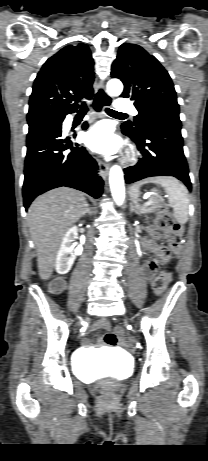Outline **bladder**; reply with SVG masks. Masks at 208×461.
Segmentation results:
<instances>
[{"label":"bladder","mask_w":208,"mask_h":461,"mask_svg":"<svg viewBox=\"0 0 208 461\" xmlns=\"http://www.w3.org/2000/svg\"><path fill=\"white\" fill-rule=\"evenodd\" d=\"M75 370L82 377L93 374L96 377L112 376L124 379L130 374L131 361L121 355H115L112 359L94 361L89 353L83 352L75 360Z\"/></svg>","instance_id":"1"}]
</instances>
